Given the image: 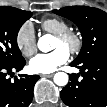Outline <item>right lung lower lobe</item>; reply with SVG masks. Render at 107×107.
<instances>
[{"instance_id": "right-lung-lower-lobe-1", "label": "right lung lower lobe", "mask_w": 107, "mask_h": 107, "mask_svg": "<svg viewBox=\"0 0 107 107\" xmlns=\"http://www.w3.org/2000/svg\"><path fill=\"white\" fill-rule=\"evenodd\" d=\"M26 64L25 59L13 63H0V107H28L33 99V87L39 76L20 75L14 83L6 76L13 70L19 71Z\"/></svg>"}]
</instances>
